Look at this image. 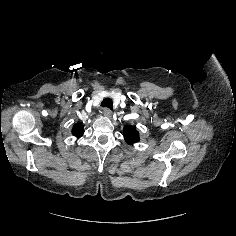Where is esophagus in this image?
<instances>
[{
	"label": "esophagus",
	"instance_id": "esophagus-1",
	"mask_svg": "<svg viewBox=\"0 0 236 236\" xmlns=\"http://www.w3.org/2000/svg\"><path fill=\"white\" fill-rule=\"evenodd\" d=\"M103 115H104L105 117H111V116H112V111H111L109 108H105V109L103 110Z\"/></svg>",
	"mask_w": 236,
	"mask_h": 236
}]
</instances>
